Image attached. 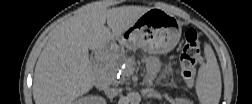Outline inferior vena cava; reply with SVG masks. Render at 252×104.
Masks as SVG:
<instances>
[{"instance_id": "1", "label": "inferior vena cava", "mask_w": 252, "mask_h": 104, "mask_svg": "<svg viewBox=\"0 0 252 104\" xmlns=\"http://www.w3.org/2000/svg\"><path fill=\"white\" fill-rule=\"evenodd\" d=\"M119 93H120V89H117V88L108 87L105 89V94L109 97L117 96Z\"/></svg>"}]
</instances>
